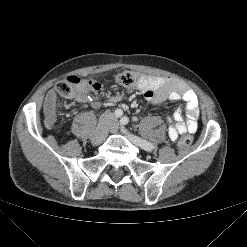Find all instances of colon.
<instances>
[{
	"label": "colon",
	"mask_w": 247,
	"mask_h": 247,
	"mask_svg": "<svg viewBox=\"0 0 247 247\" xmlns=\"http://www.w3.org/2000/svg\"><path fill=\"white\" fill-rule=\"evenodd\" d=\"M146 78V76L136 72L124 71L115 76V81L121 86L130 87L137 85ZM101 87V83L96 80H83L76 76H72L67 80L60 82L57 86V91L60 96L71 99L84 96L89 92H98ZM192 141L193 137L190 134H185L179 139L178 145L180 147H187Z\"/></svg>",
	"instance_id": "colon-1"
}]
</instances>
